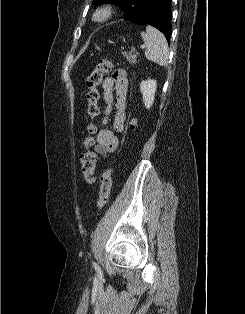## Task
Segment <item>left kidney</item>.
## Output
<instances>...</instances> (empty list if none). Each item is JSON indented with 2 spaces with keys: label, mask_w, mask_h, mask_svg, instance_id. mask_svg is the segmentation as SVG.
<instances>
[{
  "label": "left kidney",
  "mask_w": 245,
  "mask_h": 314,
  "mask_svg": "<svg viewBox=\"0 0 245 314\" xmlns=\"http://www.w3.org/2000/svg\"><path fill=\"white\" fill-rule=\"evenodd\" d=\"M156 89L157 82L153 79L142 81L140 84V91L142 93L143 102L147 109L152 107L154 103Z\"/></svg>",
  "instance_id": "5707ae66"
}]
</instances>
